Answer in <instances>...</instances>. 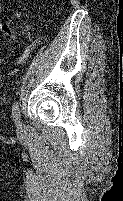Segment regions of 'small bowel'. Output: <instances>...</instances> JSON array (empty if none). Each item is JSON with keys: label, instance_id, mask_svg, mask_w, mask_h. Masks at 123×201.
<instances>
[{"label": "small bowel", "instance_id": "1", "mask_svg": "<svg viewBox=\"0 0 123 201\" xmlns=\"http://www.w3.org/2000/svg\"><path fill=\"white\" fill-rule=\"evenodd\" d=\"M1 12H2V5L0 4V14ZM0 28L5 34H7L11 38L17 50L20 51V55L12 63L8 62L6 59L0 56V66L12 65L14 67H17L22 65L26 61L27 57L29 56L30 49L29 48L25 50L22 49V45L17 38L16 29L12 28L10 25L3 22H0ZM16 72H17V69H13L10 72V74H15Z\"/></svg>", "mask_w": 123, "mask_h": 201}]
</instances>
